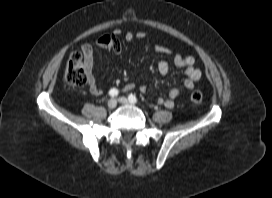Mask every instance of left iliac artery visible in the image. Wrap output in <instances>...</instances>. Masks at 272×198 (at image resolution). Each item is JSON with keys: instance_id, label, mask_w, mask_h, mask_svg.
<instances>
[{"instance_id": "obj_1", "label": "left iliac artery", "mask_w": 272, "mask_h": 198, "mask_svg": "<svg viewBox=\"0 0 272 198\" xmlns=\"http://www.w3.org/2000/svg\"><path fill=\"white\" fill-rule=\"evenodd\" d=\"M128 99H129V101H130L131 103H136V102H137V98H136V96L133 95V94H130V95L128 96Z\"/></svg>"}]
</instances>
